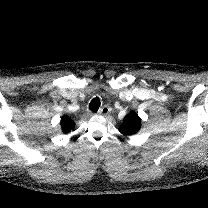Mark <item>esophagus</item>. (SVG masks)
Wrapping results in <instances>:
<instances>
[{"mask_svg":"<svg viewBox=\"0 0 208 208\" xmlns=\"http://www.w3.org/2000/svg\"><path fill=\"white\" fill-rule=\"evenodd\" d=\"M111 113V108L108 105H104L101 109H99L98 114L107 116Z\"/></svg>","mask_w":208,"mask_h":208,"instance_id":"34e87169","label":"esophagus"}]
</instances>
